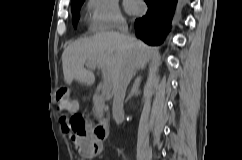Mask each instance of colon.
<instances>
[{"label": "colon", "mask_w": 242, "mask_h": 160, "mask_svg": "<svg viewBox=\"0 0 242 160\" xmlns=\"http://www.w3.org/2000/svg\"><path fill=\"white\" fill-rule=\"evenodd\" d=\"M56 103L61 112L71 113L69 116L62 118V121L66 123L67 131L76 137L83 136L87 130V121L81 114L73 111V102L67 87L61 86L58 88L56 93ZM90 145L91 148L87 155L89 157L98 155L100 153V144L93 140L90 142Z\"/></svg>", "instance_id": "5ec220e1"}]
</instances>
